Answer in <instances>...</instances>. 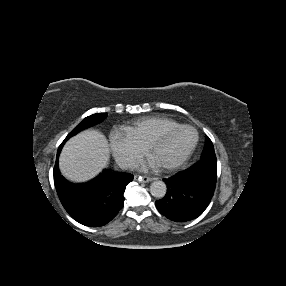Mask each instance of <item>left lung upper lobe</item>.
<instances>
[{
	"label": "left lung upper lobe",
	"mask_w": 286,
	"mask_h": 286,
	"mask_svg": "<svg viewBox=\"0 0 286 286\" xmlns=\"http://www.w3.org/2000/svg\"><path fill=\"white\" fill-rule=\"evenodd\" d=\"M209 155H215V151L211 140L209 139L208 136H206L205 148L203 150L201 158H204Z\"/></svg>",
	"instance_id": "left-lung-upper-lobe-1"
}]
</instances>
